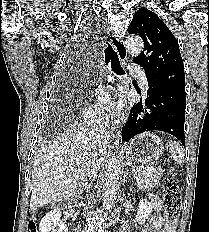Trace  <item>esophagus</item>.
Here are the masks:
<instances>
[{
    "instance_id": "esophagus-1",
    "label": "esophagus",
    "mask_w": 209,
    "mask_h": 232,
    "mask_svg": "<svg viewBox=\"0 0 209 232\" xmlns=\"http://www.w3.org/2000/svg\"><path fill=\"white\" fill-rule=\"evenodd\" d=\"M110 42L112 43V46L114 47L119 59L124 62L127 58V49L124 44V42L117 38L115 35L110 36ZM115 77L113 74L110 73L109 75V83H114Z\"/></svg>"
}]
</instances>
